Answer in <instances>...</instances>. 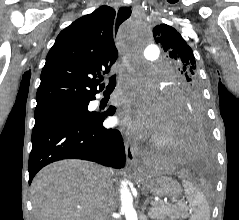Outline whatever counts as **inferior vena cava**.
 I'll return each instance as SVG.
<instances>
[{
  "label": "inferior vena cava",
  "mask_w": 239,
  "mask_h": 220,
  "mask_svg": "<svg viewBox=\"0 0 239 220\" xmlns=\"http://www.w3.org/2000/svg\"><path fill=\"white\" fill-rule=\"evenodd\" d=\"M114 205L113 182L109 175L106 176L101 194L102 214L98 217L99 220H112L111 212Z\"/></svg>",
  "instance_id": "inferior-vena-cava-1"
}]
</instances>
